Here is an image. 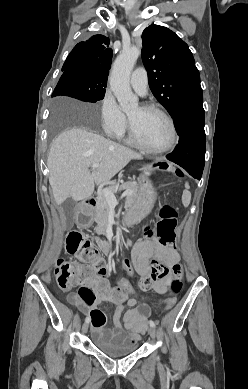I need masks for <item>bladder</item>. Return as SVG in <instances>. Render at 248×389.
<instances>
[{
  "label": "bladder",
  "mask_w": 248,
  "mask_h": 389,
  "mask_svg": "<svg viewBox=\"0 0 248 389\" xmlns=\"http://www.w3.org/2000/svg\"><path fill=\"white\" fill-rule=\"evenodd\" d=\"M92 342L97 349L113 358L132 354L138 348L137 342L128 334H111L107 330L94 331Z\"/></svg>",
  "instance_id": "31cf9c89"
}]
</instances>
